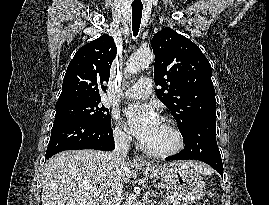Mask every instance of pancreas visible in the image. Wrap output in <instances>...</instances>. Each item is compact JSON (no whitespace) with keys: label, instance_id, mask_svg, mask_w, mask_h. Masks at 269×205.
<instances>
[{"label":"pancreas","instance_id":"pancreas-1","mask_svg":"<svg viewBox=\"0 0 269 205\" xmlns=\"http://www.w3.org/2000/svg\"><path fill=\"white\" fill-rule=\"evenodd\" d=\"M159 205H181L177 199H174L173 197H165L160 201Z\"/></svg>","mask_w":269,"mask_h":205}]
</instances>
